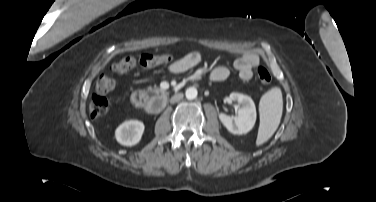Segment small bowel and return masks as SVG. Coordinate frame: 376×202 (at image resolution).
Returning a JSON list of instances; mask_svg holds the SVG:
<instances>
[{
	"label": "small bowel",
	"mask_w": 376,
	"mask_h": 202,
	"mask_svg": "<svg viewBox=\"0 0 376 202\" xmlns=\"http://www.w3.org/2000/svg\"><path fill=\"white\" fill-rule=\"evenodd\" d=\"M260 56L254 51L243 53L234 62V68L238 72L239 77L248 81L252 78L253 68L260 63ZM201 54L198 51H191L179 60L169 64L167 70L172 74L184 73L199 64ZM229 69L224 65H217L208 71V79L211 81H222L229 76Z\"/></svg>",
	"instance_id": "obj_1"
}]
</instances>
